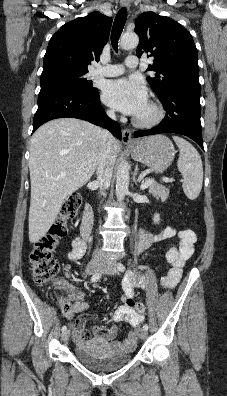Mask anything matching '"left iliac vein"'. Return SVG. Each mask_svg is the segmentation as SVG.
I'll list each match as a JSON object with an SVG mask.
<instances>
[{
    "label": "left iliac vein",
    "mask_w": 227,
    "mask_h": 396,
    "mask_svg": "<svg viewBox=\"0 0 227 396\" xmlns=\"http://www.w3.org/2000/svg\"><path fill=\"white\" fill-rule=\"evenodd\" d=\"M101 272L105 273V274H109V275H118V273H119L118 272V268H117V264L113 260L107 261L104 264L103 268L101 269ZM138 336L142 340L145 339L147 337V331L144 330V329H140L138 331Z\"/></svg>",
    "instance_id": "obj_1"
}]
</instances>
